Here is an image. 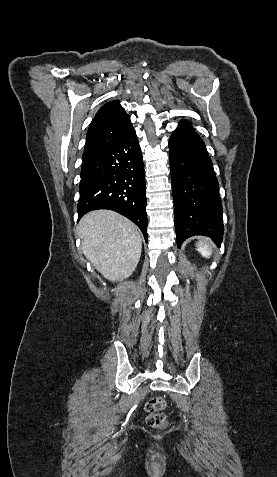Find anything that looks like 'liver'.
Listing matches in <instances>:
<instances>
[{"mask_svg":"<svg viewBox=\"0 0 277 477\" xmlns=\"http://www.w3.org/2000/svg\"><path fill=\"white\" fill-rule=\"evenodd\" d=\"M78 234L84 255L107 280H124L134 272L142 239L130 220L110 210L91 211L80 220Z\"/></svg>","mask_w":277,"mask_h":477,"instance_id":"liver-1","label":"liver"}]
</instances>
